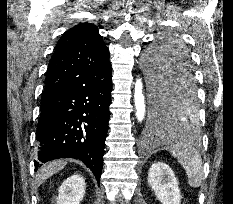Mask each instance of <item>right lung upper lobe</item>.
I'll list each match as a JSON object with an SVG mask.
<instances>
[{
	"label": "right lung upper lobe",
	"mask_w": 233,
	"mask_h": 204,
	"mask_svg": "<svg viewBox=\"0 0 233 204\" xmlns=\"http://www.w3.org/2000/svg\"><path fill=\"white\" fill-rule=\"evenodd\" d=\"M109 50L97 26L81 23L60 38L49 62L44 94L62 88L89 71L106 68Z\"/></svg>",
	"instance_id": "cb5924a9"
}]
</instances>
